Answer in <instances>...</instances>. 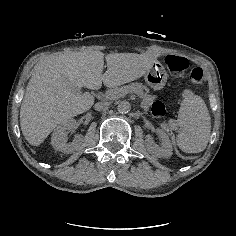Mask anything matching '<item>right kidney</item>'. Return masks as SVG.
Returning a JSON list of instances; mask_svg holds the SVG:
<instances>
[{
    "mask_svg": "<svg viewBox=\"0 0 236 236\" xmlns=\"http://www.w3.org/2000/svg\"><path fill=\"white\" fill-rule=\"evenodd\" d=\"M74 119L67 120L63 125L58 127L51 137V144L54 149L66 154H71L75 151H81L84 147V139L82 135H76L71 143H67L66 130H70L75 125Z\"/></svg>",
    "mask_w": 236,
    "mask_h": 236,
    "instance_id": "1",
    "label": "right kidney"
}]
</instances>
